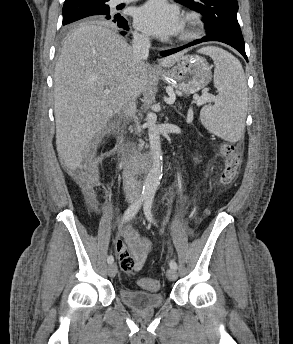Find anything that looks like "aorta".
<instances>
[{"mask_svg": "<svg viewBox=\"0 0 293 344\" xmlns=\"http://www.w3.org/2000/svg\"><path fill=\"white\" fill-rule=\"evenodd\" d=\"M156 121V114L154 112H148L146 116V126L148 127L151 165L144 181L142 191V194L147 197L154 196L156 189L160 184L162 172L161 140Z\"/></svg>", "mask_w": 293, "mask_h": 344, "instance_id": "1", "label": "aorta"}]
</instances>
